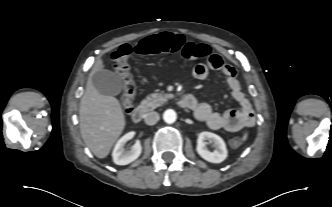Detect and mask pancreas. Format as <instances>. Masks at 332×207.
Segmentation results:
<instances>
[{
  "instance_id": "1",
  "label": "pancreas",
  "mask_w": 332,
  "mask_h": 207,
  "mask_svg": "<svg viewBox=\"0 0 332 207\" xmlns=\"http://www.w3.org/2000/svg\"><path fill=\"white\" fill-rule=\"evenodd\" d=\"M171 97L172 95L170 94L152 93L146 99L142 100L140 107L150 111L164 104Z\"/></svg>"
}]
</instances>
